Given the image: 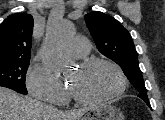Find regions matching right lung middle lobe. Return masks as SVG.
Instances as JSON below:
<instances>
[{
  "mask_svg": "<svg viewBox=\"0 0 165 120\" xmlns=\"http://www.w3.org/2000/svg\"><path fill=\"white\" fill-rule=\"evenodd\" d=\"M29 63L30 59L0 58V86L27 94L25 78Z\"/></svg>",
  "mask_w": 165,
  "mask_h": 120,
  "instance_id": "obj_1",
  "label": "right lung middle lobe"
}]
</instances>
